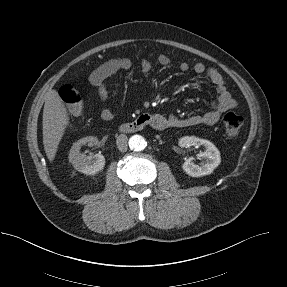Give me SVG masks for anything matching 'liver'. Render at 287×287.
<instances>
[{"label":"liver","mask_w":287,"mask_h":287,"mask_svg":"<svg viewBox=\"0 0 287 287\" xmlns=\"http://www.w3.org/2000/svg\"><path fill=\"white\" fill-rule=\"evenodd\" d=\"M69 123L65 105L56 90H49L45 94L43 109V144L49 161H53L58 145Z\"/></svg>","instance_id":"obj_1"}]
</instances>
